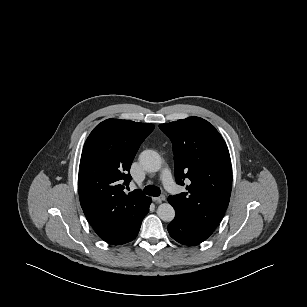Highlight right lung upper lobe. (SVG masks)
Returning a JSON list of instances; mask_svg holds the SVG:
<instances>
[{"label": "right lung upper lobe", "instance_id": "obj_1", "mask_svg": "<svg viewBox=\"0 0 307 307\" xmlns=\"http://www.w3.org/2000/svg\"><path fill=\"white\" fill-rule=\"evenodd\" d=\"M155 126L107 119L88 136L80 160L79 198L83 212L100 238L124 244L138 234L150 197L141 190L125 194L131 163Z\"/></svg>", "mask_w": 307, "mask_h": 307}]
</instances>
